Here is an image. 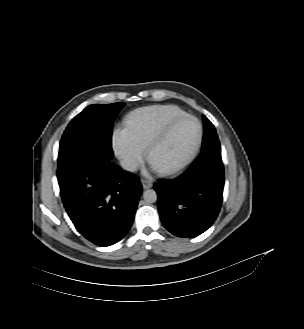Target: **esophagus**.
I'll return each instance as SVG.
<instances>
[{"label":"esophagus","instance_id":"esophagus-1","mask_svg":"<svg viewBox=\"0 0 304 329\" xmlns=\"http://www.w3.org/2000/svg\"><path fill=\"white\" fill-rule=\"evenodd\" d=\"M141 182H142V186H143L144 189H149L153 185V182L151 180H148V179H143Z\"/></svg>","mask_w":304,"mask_h":329}]
</instances>
